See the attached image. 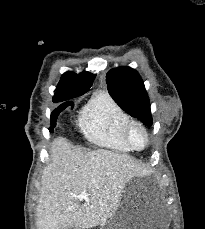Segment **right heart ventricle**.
<instances>
[{
  "instance_id": "1",
  "label": "right heart ventricle",
  "mask_w": 205,
  "mask_h": 229,
  "mask_svg": "<svg viewBox=\"0 0 205 229\" xmlns=\"http://www.w3.org/2000/svg\"><path fill=\"white\" fill-rule=\"evenodd\" d=\"M131 121L125 110L108 94H95L83 108L79 124L92 143L121 152L131 148L124 139V130Z\"/></svg>"
}]
</instances>
